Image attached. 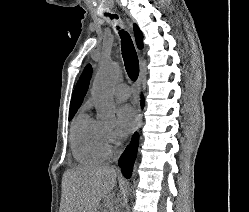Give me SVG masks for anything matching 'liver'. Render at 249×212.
<instances>
[{"label":"liver","instance_id":"6515ba94","mask_svg":"<svg viewBox=\"0 0 249 212\" xmlns=\"http://www.w3.org/2000/svg\"><path fill=\"white\" fill-rule=\"evenodd\" d=\"M114 166H79L64 174L67 212H98V206L115 188Z\"/></svg>","mask_w":249,"mask_h":212}]
</instances>
